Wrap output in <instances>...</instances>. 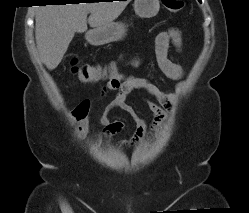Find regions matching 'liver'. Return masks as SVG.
<instances>
[{
    "label": "liver",
    "mask_w": 249,
    "mask_h": 213,
    "mask_svg": "<svg viewBox=\"0 0 249 213\" xmlns=\"http://www.w3.org/2000/svg\"><path fill=\"white\" fill-rule=\"evenodd\" d=\"M127 1L46 5L35 16V39L39 55L49 70L55 69L76 32L105 26L123 12ZM90 16L87 20V15Z\"/></svg>",
    "instance_id": "liver-1"
}]
</instances>
